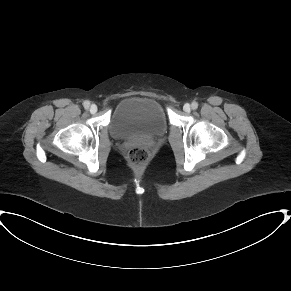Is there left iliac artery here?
<instances>
[{
  "instance_id": "obj_1",
  "label": "left iliac artery",
  "mask_w": 291,
  "mask_h": 291,
  "mask_svg": "<svg viewBox=\"0 0 291 291\" xmlns=\"http://www.w3.org/2000/svg\"><path fill=\"white\" fill-rule=\"evenodd\" d=\"M191 108H192L193 110H196V109L198 108V103H197V102H192V104H191Z\"/></svg>"
}]
</instances>
